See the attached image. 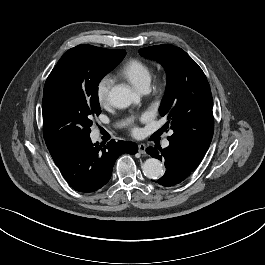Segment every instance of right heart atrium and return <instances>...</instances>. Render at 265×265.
Instances as JSON below:
<instances>
[{
	"label": "right heart atrium",
	"mask_w": 265,
	"mask_h": 265,
	"mask_svg": "<svg viewBox=\"0 0 265 265\" xmlns=\"http://www.w3.org/2000/svg\"><path fill=\"white\" fill-rule=\"evenodd\" d=\"M113 85V79L108 76H102L96 83L95 93L98 103L105 106L109 103L110 91Z\"/></svg>",
	"instance_id": "obj_1"
}]
</instances>
